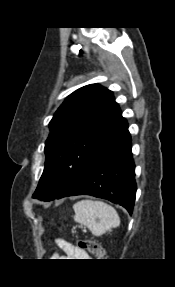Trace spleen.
I'll return each instance as SVG.
<instances>
[{"label":"spleen","instance_id":"obj_1","mask_svg":"<svg viewBox=\"0 0 175 287\" xmlns=\"http://www.w3.org/2000/svg\"><path fill=\"white\" fill-rule=\"evenodd\" d=\"M74 220L86 226L93 235L101 236L120 224L116 210L99 200H81L73 205Z\"/></svg>","mask_w":175,"mask_h":287}]
</instances>
